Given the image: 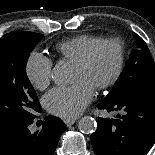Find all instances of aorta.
Listing matches in <instances>:
<instances>
[{"mask_svg":"<svg viewBox=\"0 0 155 155\" xmlns=\"http://www.w3.org/2000/svg\"><path fill=\"white\" fill-rule=\"evenodd\" d=\"M52 79L58 84H67L71 79L70 68L67 63L59 62L52 71ZM97 123L91 116H84L78 121V129L84 134H91L95 131Z\"/></svg>","mask_w":155,"mask_h":155,"instance_id":"obj_1","label":"aorta"}]
</instances>
